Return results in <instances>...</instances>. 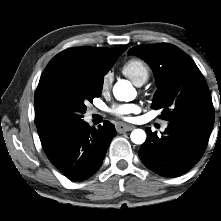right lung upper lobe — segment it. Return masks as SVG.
<instances>
[{"label": "right lung upper lobe", "mask_w": 221, "mask_h": 221, "mask_svg": "<svg viewBox=\"0 0 221 221\" xmlns=\"http://www.w3.org/2000/svg\"><path fill=\"white\" fill-rule=\"evenodd\" d=\"M126 48L127 46L117 48L76 47L66 49L52 58L44 69L41 78H44L45 76L60 69L77 65L89 64L98 68H106L114 64L119 55L123 53ZM38 133L44 151H46L59 137L47 136L40 129H38Z\"/></svg>", "instance_id": "1"}]
</instances>
